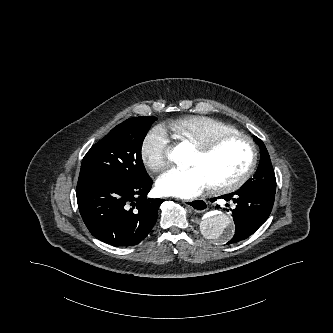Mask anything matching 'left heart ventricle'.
<instances>
[{
  "instance_id": "left-heart-ventricle-1",
  "label": "left heart ventricle",
  "mask_w": 333,
  "mask_h": 333,
  "mask_svg": "<svg viewBox=\"0 0 333 333\" xmlns=\"http://www.w3.org/2000/svg\"><path fill=\"white\" fill-rule=\"evenodd\" d=\"M250 159L249 145L240 140H232L209 155H202L195 149L188 165L199 167L211 184H214L239 176L248 167Z\"/></svg>"
}]
</instances>
